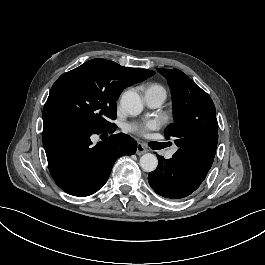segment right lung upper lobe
Masks as SVG:
<instances>
[{
	"label": "right lung upper lobe",
	"instance_id": "right-lung-upper-lobe-1",
	"mask_svg": "<svg viewBox=\"0 0 265 265\" xmlns=\"http://www.w3.org/2000/svg\"><path fill=\"white\" fill-rule=\"evenodd\" d=\"M112 64L115 69H117L119 72H121L122 74H124L129 78V82L131 85H133L134 83L141 82L155 73L154 71L151 70L123 67L115 62H112Z\"/></svg>",
	"mask_w": 265,
	"mask_h": 265
}]
</instances>
